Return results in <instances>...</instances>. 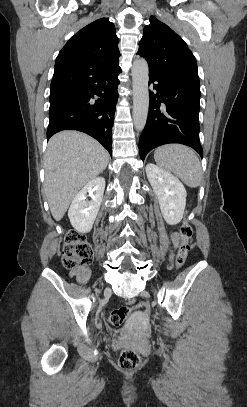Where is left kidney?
<instances>
[{"mask_svg": "<svg viewBox=\"0 0 247 407\" xmlns=\"http://www.w3.org/2000/svg\"><path fill=\"white\" fill-rule=\"evenodd\" d=\"M147 178L156 194L161 213L169 225L178 224L184 214L187 192L179 179L153 163L146 165Z\"/></svg>", "mask_w": 247, "mask_h": 407, "instance_id": "left-kidney-1", "label": "left kidney"}]
</instances>
